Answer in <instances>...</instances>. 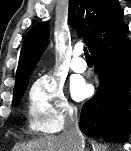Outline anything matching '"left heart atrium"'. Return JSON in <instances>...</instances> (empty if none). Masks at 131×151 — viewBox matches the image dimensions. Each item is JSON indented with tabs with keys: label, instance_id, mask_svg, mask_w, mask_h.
Returning <instances> with one entry per match:
<instances>
[{
	"label": "left heart atrium",
	"instance_id": "left-heart-atrium-1",
	"mask_svg": "<svg viewBox=\"0 0 131 151\" xmlns=\"http://www.w3.org/2000/svg\"><path fill=\"white\" fill-rule=\"evenodd\" d=\"M72 95L75 99L80 100L88 95V86L82 81H76L71 86Z\"/></svg>",
	"mask_w": 131,
	"mask_h": 151
}]
</instances>
